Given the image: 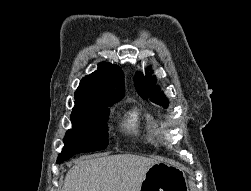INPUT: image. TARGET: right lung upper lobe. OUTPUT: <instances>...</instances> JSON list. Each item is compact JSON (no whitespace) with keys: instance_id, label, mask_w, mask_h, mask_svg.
I'll return each mask as SVG.
<instances>
[{"instance_id":"1","label":"right lung upper lobe","mask_w":251,"mask_h":191,"mask_svg":"<svg viewBox=\"0 0 251 191\" xmlns=\"http://www.w3.org/2000/svg\"><path fill=\"white\" fill-rule=\"evenodd\" d=\"M124 75L122 70L110 63L98 64L97 71L85 76L75 92L77 111L89 106H108L124 97Z\"/></svg>"}]
</instances>
